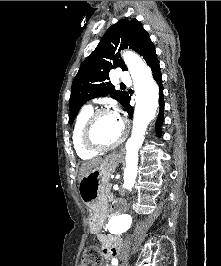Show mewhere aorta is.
<instances>
[{
	"label": "aorta",
	"instance_id": "obj_1",
	"mask_svg": "<svg viewBox=\"0 0 221 266\" xmlns=\"http://www.w3.org/2000/svg\"><path fill=\"white\" fill-rule=\"evenodd\" d=\"M123 59L128 67L134 84L136 106L133 118L131 137L125 144L126 168L124 171V188L134 187L138 172V152L149 123L154 119L158 109L159 88L154 81L146 63L133 52H124ZM131 216L119 214L111 218L108 224L109 232L122 233L129 229Z\"/></svg>",
	"mask_w": 221,
	"mask_h": 266
}]
</instances>
